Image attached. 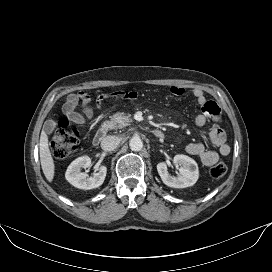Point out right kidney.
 Masks as SVG:
<instances>
[{
	"mask_svg": "<svg viewBox=\"0 0 272 272\" xmlns=\"http://www.w3.org/2000/svg\"><path fill=\"white\" fill-rule=\"evenodd\" d=\"M90 166L91 159L88 156L75 159L67 168L65 174L66 180L74 187L84 190L101 186L106 177V166H100L99 171L93 177H87V174L81 172V168H88Z\"/></svg>",
	"mask_w": 272,
	"mask_h": 272,
	"instance_id": "1",
	"label": "right kidney"
}]
</instances>
